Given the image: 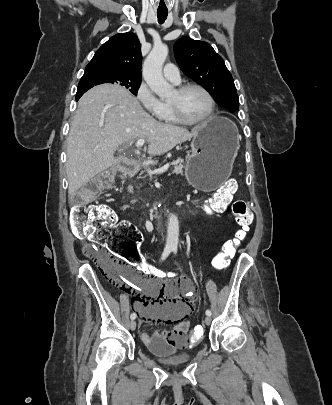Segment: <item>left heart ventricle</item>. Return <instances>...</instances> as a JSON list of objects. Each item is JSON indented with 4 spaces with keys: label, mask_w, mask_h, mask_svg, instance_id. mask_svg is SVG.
Segmentation results:
<instances>
[{
    "label": "left heart ventricle",
    "mask_w": 332,
    "mask_h": 405,
    "mask_svg": "<svg viewBox=\"0 0 332 405\" xmlns=\"http://www.w3.org/2000/svg\"><path fill=\"white\" fill-rule=\"evenodd\" d=\"M169 102H177L183 115L190 120L204 117L210 108L208 98L198 89H190L182 95H179L175 90Z\"/></svg>",
    "instance_id": "1"
}]
</instances>
